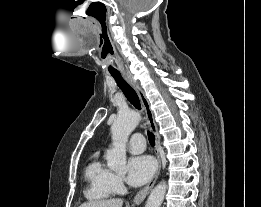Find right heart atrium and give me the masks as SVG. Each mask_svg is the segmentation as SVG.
I'll list each match as a JSON object with an SVG mask.
<instances>
[{
	"label": "right heart atrium",
	"mask_w": 261,
	"mask_h": 207,
	"mask_svg": "<svg viewBox=\"0 0 261 207\" xmlns=\"http://www.w3.org/2000/svg\"><path fill=\"white\" fill-rule=\"evenodd\" d=\"M112 188L115 193H120L124 190V181L123 178L119 175L113 174L112 177Z\"/></svg>",
	"instance_id": "obj_1"
}]
</instances>
